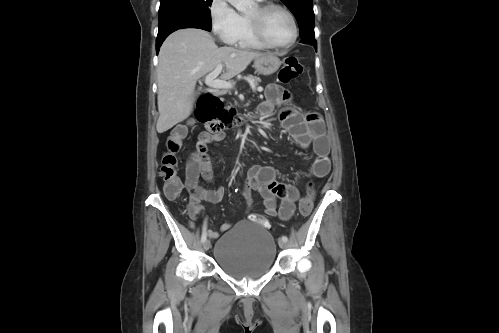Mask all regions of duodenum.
Here are the masks:
<instances>
[{"label": "duodenum", "mask_w": 499, "mask_h": 333, "mask_svg": "<svg viewBox=\"0 0 499 333\" xmlns=\"http://www.w3.org/2000/svg\"><path fill=\"white\" fill-rule=\"evenodd\" d=\"M215 99H219V98L213 94L206 93L200 97V99L198 100V103H197L196 113H197L199 120L200 121L211 120L209 122V132H207L210 134L214 133L212 131V128L219 127L222 125L219 120H215L213 118V114L216 111V108L219 107V106L218 107L216 106V102L214 101ZM256 114H257V112L252 113V114L248 115L247 117H237L236 119L230 117V119L228 121V125L226 127H224V129L236 128V127L242 125L243 123H245L246 121H248L249 119H251L252 117H254Z\"/></svg>", "instance_id": "duodenum-1"}]
</instances>
